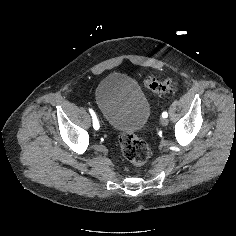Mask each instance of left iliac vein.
Listing matches in <instances>:
<instances>
[{
	"instance_id": "1",
	"label": "left iliac vein",
	"mask_w": 236,
	"mask_h": 236,
	"mask_svg": "<svg viewBox=\"0 0 236 236\" xmlns=\"http://www.w3.org/2000/svg\"><path fill=\"white\" fill-rule=\"evenodd\" d=\"M160 123H161L162 126H167L168 123H169V121H168L167 118H162L161 121H160Z\"/></svg>"
}]
</instances>
